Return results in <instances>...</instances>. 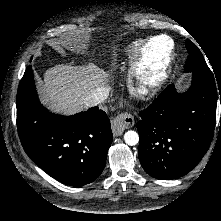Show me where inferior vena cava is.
I'll list each match as a JSON object with an SVG mask.
<instances>
[{
    "instance_id": "602c4592",
    "label": "inferior vena cava",
    "mask_w": 221,
    "mask_h": 221,
    "mask_svg": "<svg viewBox=\"0 0 221 221\" xmlns=\"http://www.w3.org/2000/svg\"><path fill=\"white\" fill-rule=\"evenodd\" d=\"M109 89L107 87H97L89 94L84 101L86 107L96 106L108 97Z\"/></svg>"
}]
</instances>
